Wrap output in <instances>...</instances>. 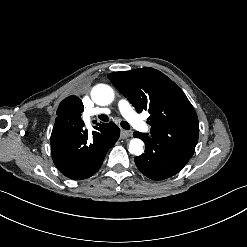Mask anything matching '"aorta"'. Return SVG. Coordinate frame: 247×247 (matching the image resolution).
<instances>
[{
	"label": "aorta",
	"mask_w": 247,
	"mask_h": 247,
	"mask_svg": "<svg viewBox=\"0 0 247 247\" xmlns=\"http://www.w3.org/2000/svg\"><path fill=\"white\" fill-rule=\"evenodd\" d=\"M92 100L98 105H108L114 99L113 89L106 84L96 85L91 91ZM144 143L138 138L131 139L129 143V152L136 156H139L143 153Z\"/></svg>",
	"instance_id": "762f6f07"
}]
</instances>
